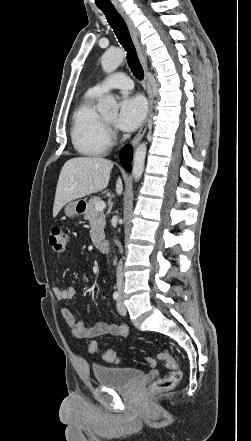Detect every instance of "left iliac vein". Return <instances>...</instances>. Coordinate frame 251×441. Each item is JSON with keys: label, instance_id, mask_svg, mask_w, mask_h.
<instances>
[{"label": "left iliac vein", "instance_id": "obj_1", "mask_svg": "<svg viewBox=\"0 0 251 441\" xmlns=\"http://www.w3.org/2000/svg\"><path fill=\"white\" fill-rule=\"evenodd\" d=\"M117 310L121 315H126V313H127L126 307L124 305L122 293L120 295V298L117 301Z\"/></svg>", "mask_w": 251, "mask_h": 441}]
</instances>
